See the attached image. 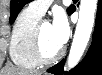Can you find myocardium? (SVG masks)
Returning a JSON list of instances; mask_svg holds the SVG:
<instances>
[{"label":"myocardium","instance_id":"1","mask_svg":"<svg viewBox=\"0 0 102 75\" xmlns=\"http://www.w3.org/2000/svg\"><path fill=\"white\" fill-rule=\"evenodd\" d=\"M43 21L38 22L34 28L32 38H31V52L34 60L37 62V64L40 65H47L50 63L55 62L59 57L63 54V48H61L57 53H55L53 56L47 57L45 56L42 47H41V28L43 25Z\"/></svg>","mask_w":102,"mask_h":75}]
</instances>
